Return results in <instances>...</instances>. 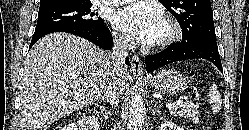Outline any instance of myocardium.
<instances>
[{"label": "myocardium", "instance_id": "myocardium-1", "mask_svg": "<svg viewBox=\"0 0 249 130\" xmlns=\"http://www.w3.org/2000/svg\"><path fill=\"white\" fill-rule=\"evenodd\" d=\"M182 36V28L179 22L173 18L165 21V34L159 39L158 46L165 47L176 41Z\"/></svg>", "mask_w": 249, "mask_h": 130}]
</instances>
